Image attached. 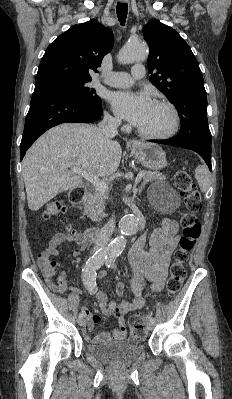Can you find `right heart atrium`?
I'll list each match as a JSON object with an SVG mask.
<instances>
[{"label": "right heart atrium", "mask_w": 232, "mask_h": 399, "mask_svg": "<svg viewBox=\"0 0 232 399\" xmlns=\"http://www.w3.org/2000/svg\"><path fill=\"white\" fill-rule=\"evenodd\" d=\"M107 120H108V122H118L117 118H114L110 115L107 116Z\"/></svg>", "instance_id": "1"}]
</instances>
